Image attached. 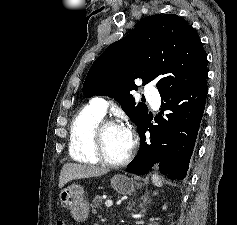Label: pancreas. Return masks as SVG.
I'll return each mask as SVG.
<instances>
[{"mask_svg":"<svg viewBox=\"0 0 237 225\" xmlns=\"http://www.w3.org/2000/svg\"><path fill=\"white\" fill-rule=\"evenodd\" d=\"M102 197L100 195L96 196L93 200V204L91 205L93 212L96 211V208L101 209Z\"/></svg>","mask_w":237,"mask_h":225,"instance_id":"cf45deb5","label":"pancreas"}]
</instances>
